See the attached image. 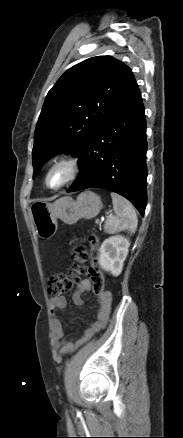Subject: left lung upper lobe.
Returning <instances> with one entry per match:
<instances>
[{"instance_id":"1","label":"left lung upper lobe","mask_w":183,"mask_h":438,"mask_svg":"<svg viewBox=\"0 0 183 438\" xmlns=\"http://www.w3.org/2000/svg\"><path fill=\"white\" fill-rule=\"evenodd\" d=\"M135 83L131 69L110 56L92 57L68 69L48 92L37 122L32 151L36 172L55 153L79 156Z\"/></svg>"}]
</instances>
